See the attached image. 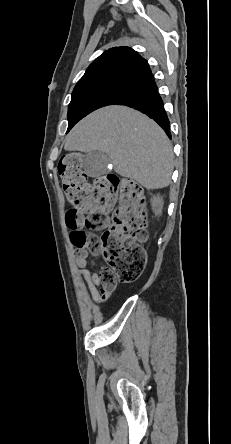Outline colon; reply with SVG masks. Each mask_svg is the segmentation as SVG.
<instances>
[{"label":"colon","instance_id":"5ec220e1","mask_svg":"<svg viewBox=\"0 0 231 444\" xmlns=\"http://www.w3.org/2000/svg\"><path fill=\"white\" fill-rule=\"evenodd\" d=\"M58 172L72 206L66 213L68 228L82 235L81 244L87 255H102L108 264L99 274L101 288L110 293L117 283L137 280L147 262L142 247L147 238L142 188L132 179L112 174L89 182L78 153L62 156ZM102 229L106 230L100 236L93 233Z\"/></svg>","mask_w":231,"mask_h":444}]
</instances>
